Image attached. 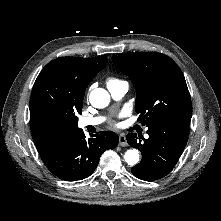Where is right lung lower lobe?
<instances>
[{
    "instance_id": "obj_1",
    "label": "right lung lower lobe",
    "mask_w": 221,
    "mask_h": 221,
    "mask_svg": "<svg viewBox=\"0 0 221 221\" xmlns=\"http://www.w3.org/2000/svg\"><path fill=\"white\" fill-rule=\"evenodd\" d=\"M118 142V135L111 131H102L86 139L84 132L79 130L36 148L49 171L62 180L75 181L89 177L102 153L115 148Z\"/></svg>"
}]
</instances>
